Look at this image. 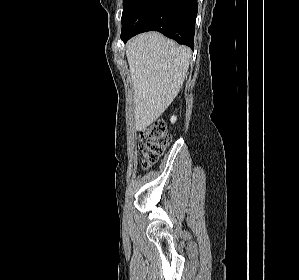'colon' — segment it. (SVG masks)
<instances>
[{
	"label": "colon",
	"mask_w": 299,
	"mask_h": 280,
	"mask_svg": "<svg viewBox=\"0 0 299 280\" xmlns=\"http://www.w3.org/2000/svg\"><path fill=\"white\" fill-rule=\"evenodd\" d=\"M169 143L170 136L162 120H157L145 128L140 134L143 167L149 168L157 162Z\"/></svg>",
	"instance_id": "obj_1"
}]
</instances>
